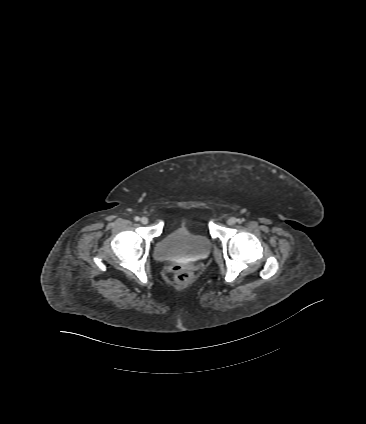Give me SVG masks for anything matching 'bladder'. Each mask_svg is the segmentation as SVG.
Instances as JSON below:
<instances>
[{
    "instance_id": "1",
    "label": "bladder",
    "mask_w": 366,
    "mask_h": 424,
    "mask_svg": "<svg viewBox=\"0 0 366 424\" xmlns=\"http://www.w3.org/2000/svg\"><path fill=\"white\" fill-rule=\"evenodd\" d=\"M211 249L212 242L208 236L180 226L157 242L154 254L159 260H196L207 256Z\"/></svg>"
}]
</instances>
